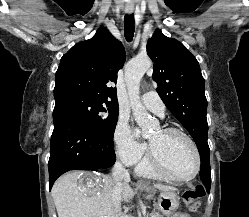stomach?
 Wrapping results in <instances>:
<instances>
[{"mask_svg": "<svg viewBox=\"0 0 249 217\" xmlns=\"http://www.w3.org/2000/svg\"><path fill=\"white\" fill-rule=\"evenodd\" d=\"M146 191H152L153 189L148 186L143 187ZM179 206V198L172 191H162L158 198V208L165 215H172L176 212Z\"/></svg>", "mask_w": 249, "mask_h": 217, "instance_id": "0dacf381", "label": "stomach"}]
</instances>
